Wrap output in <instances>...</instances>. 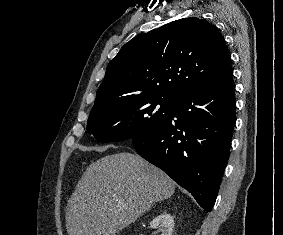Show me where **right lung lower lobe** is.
Wrapping results in <instances>:
<instances>
[{
	"instance_id": "98d812e1",
	"label": "right lung lower lobe",
	"mask_w": 283,
	"mask_h": 235,
	"mask_svg": "<svg viewBox=\"0 0 283 235\" xmlns=\"http://www.w3.org/2000/svg\"><path fill=\"white\" fill-rule=\"evenodd\" d=\"M232 76L179 94L162 125L132 139L140 156L188 190L207 212L218 194L236 122Z\"/></svg>"
}]
</instances>
